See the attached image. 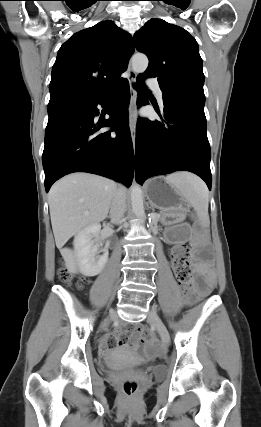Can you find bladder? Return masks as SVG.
I'll return each instance as SVG.
<instances>
[{
  "label": "bladder",
  "instance_id": "bladder-1",
  "mask_svg": "<svg viewBox=\"0 0 261 427\" xmlns=\"http://www.w3.org/2000/svg\"><path fill=\"white\" fill-rule=\"evenodd\" d=\"M151 372L155 377H161L164 375L165 370L163 367H154Z\"/></svg>",
  "mask_w": 261,
  "mask_h": 427
}]
</instances>
